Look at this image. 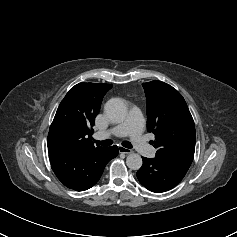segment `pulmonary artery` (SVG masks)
I'll use <instances>...</instances> for the list:
<instances>
[{
    "mask_svg": "<svg viewBox=\"0 0 237 237\" xmlns=\"http://www.w3.org/2000/svg\"><path fill=\"white\" fill-rule=\"evenodd\" d=\"M144 127V119L139 110L133 109L127 119L107 130L99 131L96 133L97 139H105L111 136L124 137L129 136L136 150L145 157H154L156 153V148L149 145L142 136V131Z\"/></svg>",
    "mask_w": 237,
    "mask_h": 237,
    "instance_id": "pulmonary-artery-1",
    "label": "pulmonary artery"
}]
</instances>
